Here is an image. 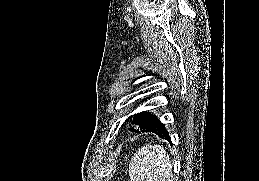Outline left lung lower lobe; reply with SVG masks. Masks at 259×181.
<instances>
[{"mask_svg":"<svg viewBox=\"0 0 259 181\" xmlns=\"http://www.w3.org/2000/svg\"><path fill=\"white\" fill-rule=\"evenodd\" d=\"M144 132H152V133H155L156 135H158L162 139L171 141L169 133L167 132L164 124L157 118L142 133H144Z\"/></svg>","mask_w":259,"mask_h":181,"instance_id":"1","label":"left lung lower lobe"}]
</instances>
